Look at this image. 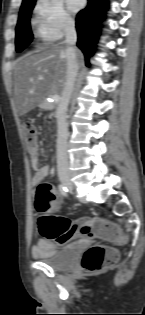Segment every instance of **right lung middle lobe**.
Segmentation results:
<instances>
[{"mask_svg": "<svg viewBox=\"0 0 145 315\" xmlns=\"http://www.w3.org/2000/svg\"><path fill=\"white\" fill-rule=\"evenodd\" d=\"M35 5V1L21 6L19 19L16 26V51L21 52L25 49L33 39V34L30 28L31 11Z\"/></svg>", "mask_w": 145, "mask_h": 315, "instance_id": "dd1d6c3e", "label": "right lung middle lobe"}]
</instances>
